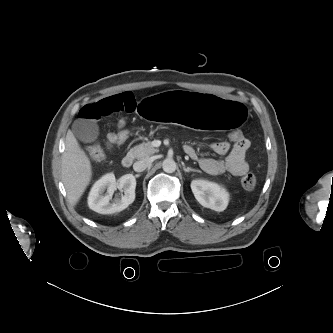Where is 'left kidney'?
<instances>
[{
  "mask_svg": "<svg viewBox=\"0 0 333 333\" xmlns=\"http://www.w3.org/2000/svg\"><path fill=\"white\" fill-rule=\"evenodd\" d=\"M191 189L202 206L218 212L226 209L229 202V194L217 183L206 180H193Z\"/></svg>",
  "mask_w": 333,
  "mask_h": 333,
  "instance_id": "obj_1",
  "label": "left kidney"
}]
</instances>
